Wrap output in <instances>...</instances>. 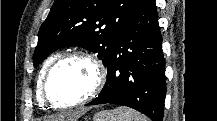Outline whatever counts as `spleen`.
I'll return each mask as SVG.
<instances>
[{"label":"spleen","instance_id":"1","mask_svg":"<svg viewBox=\"0 0 217 121\" xmlns=\"http://www.w3.org/2000/svg\"><path fill=\"white\" fill-rule=\"evenodd\" d=\"M94 121H146V118L133 109L117 107L111 111L98 113Z\"/></svg>","mask_w":217,"mask_h":121}]
</instances>
